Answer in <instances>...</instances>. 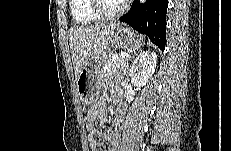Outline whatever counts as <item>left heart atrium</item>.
<instances>
[{
	"label": "left heart atrium",
	"mask_w": 231,
	"mask_h": 151,
	"mask_svg": "<svg viewBox=\"0 0 231 151\" xmlns=\"http://www.w3.org/2000/svg\"><path fill=\"white\" fill-rule=\"evenodd\" d=\"M118 1H120V2H122V3H125V2H127L128 0H118Z\"/></svg>",
	"instance_id": "left-heart-atrium-1"
}]
</instances>
